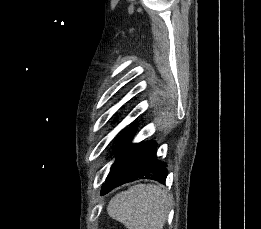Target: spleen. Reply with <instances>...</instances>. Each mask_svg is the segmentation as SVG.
Masks as SVG:
<instances>
[{"mask_svg":"<svg viewBox=\"0 0 261 229\" xmlns=\"http://www.w3.org/2000/svg\"><path fill=\"white\" fill-rule=\"evenodd\" d=\"M169 207L170 201L161 187L134 185L109 201L107 213L126 229H163Z\"/></svg>","mask_w":261,"mask_h":229,"instance_id":"obj_1","label":"spleen"}]
</instances>
